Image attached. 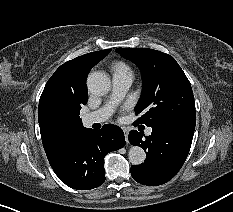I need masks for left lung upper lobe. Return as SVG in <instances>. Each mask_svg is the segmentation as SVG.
Here are the masks:
<instances>
[{
	"label": "left lung upper lobe",
	"instance_id": "5c2ea615",
	"mask_svg": "<svg viewBox=\"0 0 233 212\" xmlns=\"http://www.w3.org/2000/svg\"><path fill=\"white\" fill-rule=\"evenodd\" d=\"M116 51L135 63L143 75V93L135 108L136 114L143 115L135 124L194 131L196 113L192 88L176 60L148 48H117Z\"/></svg>",
	"mask_w": 233,
	"mask_h": 212
}]
</instances>
